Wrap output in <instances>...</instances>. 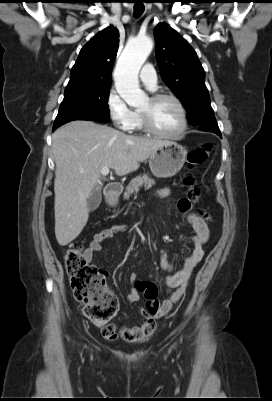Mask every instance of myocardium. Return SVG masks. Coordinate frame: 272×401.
<instances>
[{"label": "myocardium", "mask_w": 272, "mask_h": 401, "mask_svg": "<svg viewBox=\"0 0 272 401\" xmlns=\"http://www.w3.org/2000/svg\"><path fill=\"white\" fill-rule=\"evenodd\" d=\"M150 101L152 103L157 102L162 99H171L173 100L176 105L179 108V111L181 113V127L180 129L175 132V133H164L156 129L151 121L150 114L147 110H139L140 117H141V124L143 129L148 132L149 134L160 137V138H166V139H175L180 136H182L185 131L187 130L188 127V119H187V111L186 108L183 104V102L178 98L176 95L172 93H167V92H158L155 94H152L149 97Z\"/></svg>", "instance_id": "1"}]
</instances>
